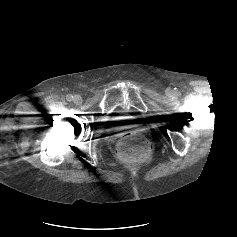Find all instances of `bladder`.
I'll return each mask as SVG.
<instances>
[{
	"label": "bladder",
	"instance_id": "bladder-1",
	"mask_svg": "<svg viewBox=\"0 0 237 237\" xmlns=\"http://www.w3.org/2000/svg\"><path fill=\"white\" fill-rule=\"evenodd\" d=\"M136 124H137L136 118L130 115H114L108 121V126L110 128L133 126Z\"/></svg>",
	"mask_w": 237,
	"mask_h": 237
}]
</instances>
